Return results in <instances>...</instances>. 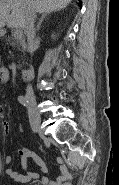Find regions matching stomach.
<instances>
[{
  "mask_svg": "<svg viewBox=\"0 0 119 185\" xmlns=\"http://www.w3.org/2000/svg\"><path fill=\"white\" fill-rule=\"evenodd\" d=\"M5 34L4 30H2V28H0V37L3 36Z\"/></svg>",
  "mask_w": 119,
  "mask_h": 185,
  "instance_id": "0dacf381",
  "label": "stomach"
}]
</instances>
